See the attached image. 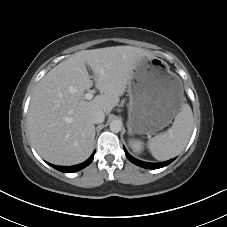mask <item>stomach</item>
Here are the masks:
<instances>
[{
    "label": "stomach",
    "mask_w": 227,
    "mask_h": 227,
    "mask_svg": "<svg viewBox=\"0 0 227 227\" xmlns=\"http://www.w3.org/2000/svg\"><path fill=\"white\" fill-rule=\"evenodd\" d=\"M128 127L136 134L155 133L166 127L184 102L183 87L168 64L141 56L128 83Z\"/></svg>",
    "instance_id": "obj_1"
}]
</instances>
